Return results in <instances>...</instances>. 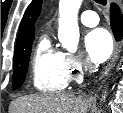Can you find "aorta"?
Segmentation results:
<instances>
[{"instance_id":"obj_1","label":"aorta","mask_w":123,"mask_h":113,"mask_svg":"<svg viewBox=\"0 0 123 113\" xmlns=\"http://www.w3.org/2000/svg\"><path fill=\"white\" fill-rule=\"evenodd\" d=\"M81 2L82 0L59 1L58 39L62 47L71 53L78 49L80 33L77 16Z\"/></svg>"}]
</instances>
